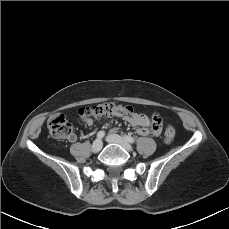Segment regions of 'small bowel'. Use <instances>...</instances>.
Segmentation results:
<instances>
[{
	"label": "small bowel",
	"instance_id": "1",
	"mask_svg": "<svg viewBox=\"0 0 229 229\" xmlns=\"http://www.w3.org/2000/svg\"><path fill=\"white\" fill-rule=\"evenodd\" d=\"M124 119L130 123L132 126L138 127L137 133L141 136H147L151 134H156V131L148 129L146 126L149 124L150 119L146 114L143 113H131L124 116ZM85 124L87 126L93 125V120L91 118H87L85 120ZM113 132L116 131V129L112 130ZM75 137L72 136L71 140H74Z\"/></svg>",
	"mask_w": 229,
	"mask_h": 229
}]
</instances>
